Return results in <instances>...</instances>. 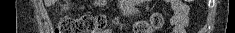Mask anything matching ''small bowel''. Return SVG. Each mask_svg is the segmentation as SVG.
I'll use <instances>...</instances> for the list:
<instances>
[{"label":"small bowel","instance_id":"1","mask_svg":"<svg viewBox=\"0 0 235 33\" xmlns=\"http://www.w3.org/2000/svg\"><path fill=\"white\" fill-rule=\"evenodd\" d=\"M170 5L173 11L170 23L174 33H186L188 26V6L180 0H171ZM102 33H111L109 30Z\"/></svg>","mask_w":235,"mask_h":33}]
</instances>
